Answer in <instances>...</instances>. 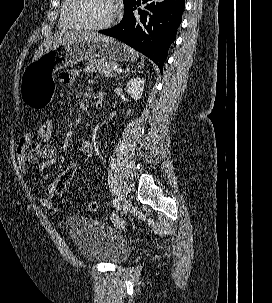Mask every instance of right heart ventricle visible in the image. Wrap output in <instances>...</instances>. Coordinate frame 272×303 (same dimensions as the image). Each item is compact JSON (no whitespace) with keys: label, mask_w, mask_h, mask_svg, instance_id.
<instances>
[{"label":"right heart ventricle","mask_w":272,"mask_h":303,"mask_svg":"<svg viewBox=\"0 0 272 303\" xmlns=\"http://www.w3.org/2000/svg\"><path fill=\"white\" fill-rule=\"evenodd\" d=\"M69 2L70 0H63L60 11L59 26L63 29H76L78 26L71 22L67 15Z\"/></svg>","instance_id":"e07e8e85"}]
</instances>
